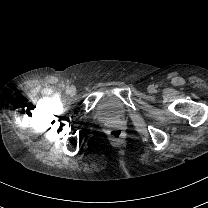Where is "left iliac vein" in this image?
Wrapping results in <instances>:
<instances>
[{"instance_id": "4c4485c4", "label": "left iliac vein", "mask_w": 208, "mask_h": 208, "mask_svg": "<svg viewBox=\"0 0 208 208\" xmlns=\"http://www.w3.org/2000/svg\"><path fill=\"white\" fill-rule=\"evenodd\" d=\"M154 88L153 87H149V92H153Z\"/></svg>"}]
</instances>
